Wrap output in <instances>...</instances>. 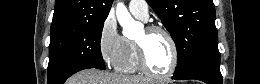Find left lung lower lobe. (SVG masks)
<instances>
[{"instance_id":"obj_1","label":"left lung lower lobe","mask_w":260,"mask_h":84,"mask_svg":"<svg viewBox=\"0 0 260 84\" xmlns=\"http://www.w3.org/2000/svg\"><path fill=\"white\" fill-rule=\"evenodd\" d=\"M219 66L220 56L206 58L198 61L184 73L174 75L172 79H196L207 84H222V75Z\"/></svg>"}]
</instances>
